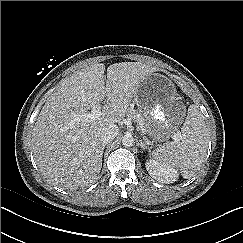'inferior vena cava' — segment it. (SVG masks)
Returning a JSON list of instances; mask_svg holds the SVG:
<instances>
[{
    "label": "inferior vena cava",
    "mask_w": 243,
    "mask_h": 243,
    "mask_svg": "<svg viewBox=\"0 0 243 243\" xmlns=\"http://www.w3.org/2000/svg\"><path fill=\"white\" fill-rule=\"evenodd\" d=\"M119 133V129L116 125H109L101 131V141L104 144L111 142Z\"/></svg>",
    "instance_id": "602c4592"
}]
</instances>
